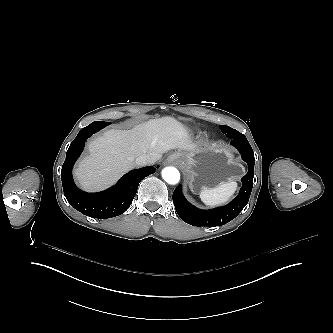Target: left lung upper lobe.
I'll use <instances>...</instances> for the list:
<instances>
[{
  "label": "left lung upper lobe",
  "instance_id": "obj_1",
  "mask_svg": "<svg viewBox=\"0 0 333 333\" xmlns=\"http://www.w3.org/2000/svg\"><path fill=\"white\" fill-rule=\"evenodd\" d=\"M221 126H222V127H229V126H224V125H221ZM221 126H220V127H221Z\"/></svg>",
  "mask_w": 333,
  "mask_h": 333
}]
</instances>
